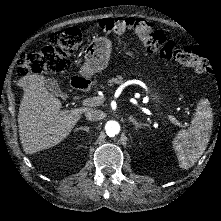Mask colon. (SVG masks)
I'll list each match as a JSON object with an SVG mask.
<instances>
[{
    "instance_id": "colon-1",
    "label": "colon",
    "mask_w": 221,
    "mask_h": 221,
    "mask_svg": "<svg viewBox=\"0 0 221 221\" xmlns=\"http://www.w3.org/2000/svg\"><path fill=\"white\" fill-rule=\"evenodd\" d=\"M98 29L104 34L114 35L132 32L149 52L192 66L200 74L210 71L208 59L199 50L191 46L178 47L147 20L132 17L105 18L99 21ZM82 41L81 31L74 28L53 34L50 38V46L25 53L19 58L17 74L31 76L62 72L68 67V58L74 54Z\"/></svg>"
}]
</instances>
